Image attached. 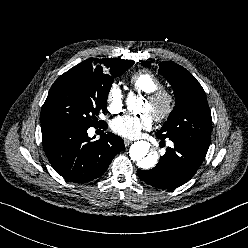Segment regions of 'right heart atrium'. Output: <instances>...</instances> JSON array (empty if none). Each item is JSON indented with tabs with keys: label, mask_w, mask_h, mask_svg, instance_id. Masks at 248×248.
<instances>
[{
	"label": "right heart atrium",
	"mask_w": 248,
	"mask_h": 248,
	"mask_svg": "<svg viewBox=\"0 0 248 248\" xmlns=\"http://www.w3.org/2000/svg\"><path fill=\"white\" fill-rule=\"evenodd\" d=\"M108 109L111 113H118L123 107V94L118 84L113 83L107 93Z\"/></svg>",
	"instance_id": "right-heart-atrium-1"
}]
</instances>
